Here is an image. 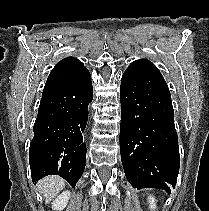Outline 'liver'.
Masks as SVG:
<instances>
[{
    "instance_id": "obj_1",
    "label": "liver",
    "mask_w": 209,
    "mask_h": 211,
    "mask_svg": "<svg viewBox=\"0 0 209 211\" xmlns=\"http://www.w3.org/2000/svg\"><path fill=\"white\" fill-rule=\"evenodd\" d=\"M65 184V180L58 176H47L38 182L37 188L47 204L65 187Z\"/></svg>"
}]
</instances>
